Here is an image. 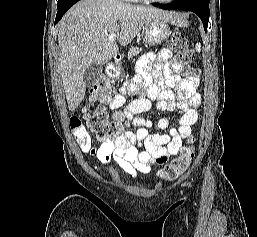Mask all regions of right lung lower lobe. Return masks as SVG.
Returning <instances> with one entry per match:
<instances>
[{"label": "right lung lower lobe", "mask_w": 257, "mask_h": 237, "mask_svg": "<svg viewBox=\"0 0 257 237\" xmlns=\"http://www.w3.org/2000/svg\"><path fill=\"white\" fill-rule=\"evenodd\" d=\"M78 1L79 0H71L65 4L57 7L58 11H57L56 19H55V24L61 20L62 16L65 14V12L67 10ZM55 24H54V26H55Z\"/></svg>", "instance_id": "right-lung-lower-lobe-1"}]
</instances>
